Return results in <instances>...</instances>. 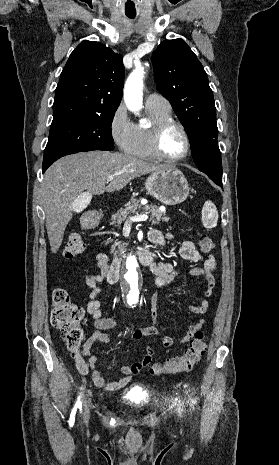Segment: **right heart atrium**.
<instances>
[{
  "instance_id": "right-heart-atrium-1",
  "label": "right heart atrium",
  "mask_w": 279,
  "mask_h": 465,
  "mask_svg": "<svg viewBox=\"0 0 279 465\" xmlns=\"http://www.w3.org/2000/svg\"><path fill=\"white\" fill-rule=\"evenodd\" d=\"M134 124L130 120L126 107L119 104L111 114L109 120V134L114 144L121 151L126 152L131 145Z\"/></svg>"
}]
</instances>
